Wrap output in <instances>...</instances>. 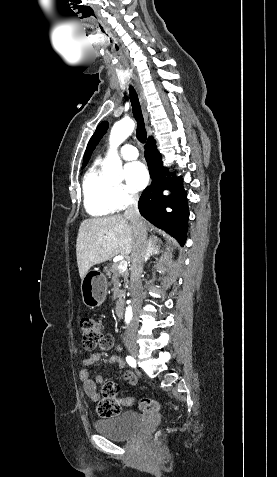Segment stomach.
<instances>
[{
    "label": "stomach",
    "mask_w": 277,
    "mask_h": 477,
    "mask_svg": "<svg viewBox=\"0 0 277 477\" xmlns=\"http://www.w3.org/2000/svg\"><path fill=\"white\" fill-rule=\"evenodd\" d=\"M80 289L84 305L90 308L98 307L107 294V279L103 273L90 270L82 278Z\"/></svg>",
    "instance_id": "1"
}]
</instances>
